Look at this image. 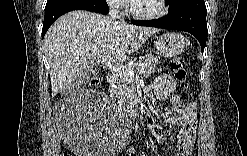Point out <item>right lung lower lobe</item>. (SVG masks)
Returning a JSON list of instances; mask_svg holds the SVG:
<instances>
[{
	"instance_id": "1",
	"label": "right lung lower lobe",
	"mask_w": 247,
	"mask_h": 156,
	"mask_svg": "<svg viewBox=\"0 0 247 156\" xmlns=\"http://www.w3.org/2000/svg\"><path fill=\"white\" fill-rule=\"evenodd\" d=\"M72 10H88L107 14L109 11L105 0H54L46 4L42 38L50 25L61 15Z\"/></svg>"
}]
</instances>
